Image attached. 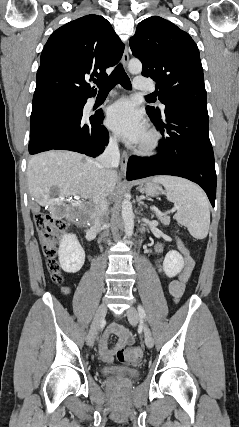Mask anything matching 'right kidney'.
Returning a JSON list of instances; mask_svg holds the SVG:
<instances>
[{
  "instance_id": "ca27d5eb",
  "label": "right kidney",
  "mask_w": 239,
  "mask_h": 427,
  "mask_svg": "<svg viewBox=\"0 0 239 427\" xmlns=\"http://www.w3.org/2000/svg\"><path fill=\"white\" fill-rule=\"evenodd\" d=\"M58 255L60 266L67 273L78 272L85 262V252L74 234L62 236Z\"/></svg>"
}]
</instances>
